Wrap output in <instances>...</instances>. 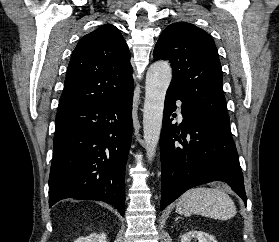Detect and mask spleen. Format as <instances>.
I'll return each mask as SVG.
<instances>
[{
    "mask_svg": "<svg viewBox=\"0 0 279 242\" xmlns=\"http://www.w3.org/2000/svg\"><path fill=\"white\" fill-rule=\"evenodd\" d=\"M176 212L185 216L195 213L228 220L236 215V206L229 195L219 189L196 187L186 191L180 197Z\"/></svg>",
    "mask_w": 279,
    "mask_h": 242,
    "instance_id": "1",
    "label": "spleen"
}]
</instances>
